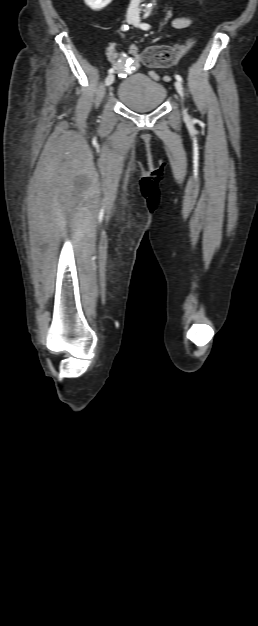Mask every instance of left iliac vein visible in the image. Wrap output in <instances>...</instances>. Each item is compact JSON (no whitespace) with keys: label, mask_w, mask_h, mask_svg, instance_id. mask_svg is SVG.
<instances>
[{"label":"left iliac vein","mask_w":258,"mask_h":626,"mask_svg":"<svg viewBox=\"0 0 258 626\" xmlns=\"http://www.w3.org/2000/svg\"><path fill=\"white\" fill-rule=\"evenodd\" d=\"M133 24L138 27L139 24H140V21L136 20ZM174 85H175V88H176L177 92L181 96V98H183V96H184L183 87H182V84L180 83V81H178V80L175 81ZM183 113L186 114V110L185 109H183Z\"/></svg>","instance_id":"4c4485c4"}]
</instances>
